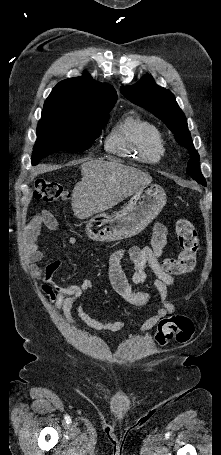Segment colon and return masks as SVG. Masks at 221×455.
<instances>
[{
  "instance_id": "colon-1",
  "label": "colon",
  "mask_w": 221,
  "mask_h": 455,
  "mask_svg": "<svg viewBox=\"0 0 221 455\" xmlns=\"http://www.w3.org/2000/svg\"><path fill=\"white\" fill-rule=\"evenodd\" d=\"M70 193L61 184L37 179L34 187V198L44 203L65 201ZM176 234L180 245V253L176 258H166L161 263L165 273L170 276H179L190 272L197 259L200 241L194 225L187 219L177 220L175 225ZM194 324L190 318L184 315H174L163 318L157 325L155 339L161 346L172 340L180 344L189 343L194 335Z\"/></svg>"
}]
</instances>
